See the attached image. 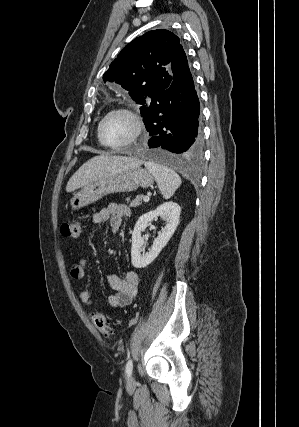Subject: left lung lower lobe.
I'll list each match as a JSON object with an SVG mask.
<instances>
[{"instance_id":"obj_1","label":"left lung lower lobe","mask_w":299,"mask_h":427,"mask_svg":"<svg viewBox=\"0 0 299 427\" xmlns=\"http://www.w3.org/2000/svg\"><path fill=\"white\" fill-rule=\"evenodd\" d=\"M172 81L156 103L149 106L143 120L151 138L152 158L181 162L201 154L203 138L200 127V102L180 44L171 62Z\"/></svg>"}]
</instances>
